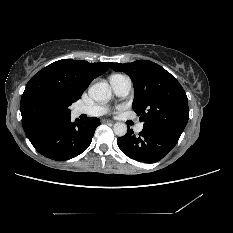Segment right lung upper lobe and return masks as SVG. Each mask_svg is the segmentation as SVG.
Masks as SVG:
<instances>
[{
    "instance_id": "obj_1",
    "label": "right lung upper lobe",
    "mask_w": 233,
    "mask_h": 233,
    "mask_svg": "<svg viewBox=\"0 0 233 233\" xmlns=\"http://www.w3.org/2000/svg\"><path fill=\"white\" fill-rule=\"evenodd\" d=\"M109 64L62 59L35 74L21 97L22 125L29 140L70 120L69 106Z\"/></svg>"
}]
</instances>
